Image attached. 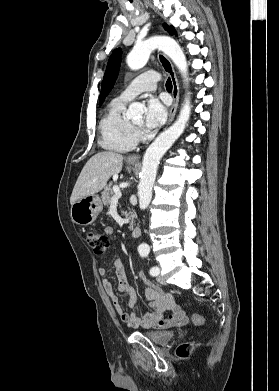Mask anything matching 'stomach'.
I'll return each instance as SVG.
<instances>
[{"label":"stomach","mask_w":279,"mask_h":391,"mask_svg":"<svg viewBox=\"0 0 279 391\" xmlns=\"http://www.w3.org/2000/svg\"><path fill=\"white\" fill-rule=\"evenodd\" d=\"M103 204L98 195L86 196L71 206V219L78 225H89L102 211Z\"/></svg>","instance_id":"1"}]
</instances>
